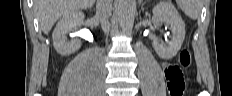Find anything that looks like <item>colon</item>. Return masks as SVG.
Here are the masks:
<instances>
[{"label":"colon","instance_id":"colon-1","mask_svg":"<svg viewBox=\"0 0 232 96\" xmlns=\"http://www.w3.org/2000/svg\"><path fill=\"white\" fill-rule=\"evenodd\" d=\"M190 63L191 55L189 49L185 47L180 52L178 64H170V68H165V76L171 96H181L183 94L185 84L181 68L188 67Z\"/></svg>","mask_w":232,"mask_h":96}]
</instances>
